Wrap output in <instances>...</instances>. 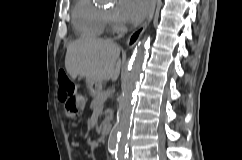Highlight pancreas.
<instances>
[{"instance_id":"obj_1","label":"pancreas","mask_w":242,"mask_h":160,"mask_svg":"<svg viewBox=\"0 0 242 160\" xmlns=\"http://www.w3.org/2000/svg\"><path fill=\"white\" fill-rule=\"evenodd\" d=\"M107 98V92L105 91H101L99 94H97L96 96H94L92 102H91V109L95 110V109H99L102 110L103 109V102L104 100ZM109 121V118L107 117L105 119V122Z\"/></svg>"}]
</instances>
